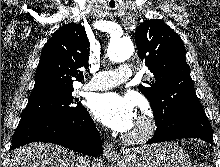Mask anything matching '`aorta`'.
Listing matches in <instances>:
<instances>
[{
    "label": "aorta",
    "instance_id": "obj_1",
    "mask_svg": "<svg viewBox=\"0 0 220 167\" xmlns=\"http://www.w3.org/2000/svg\"><path fill=\"white\" fill-rule=\"evenodd\" d=\"M134 52V45L131 40L114 39L110 42L107 55L113 62H123L130 58Z\"/></svg>",
    "mask_w": 220,
    "mask_h": 167
}]
</instances>
